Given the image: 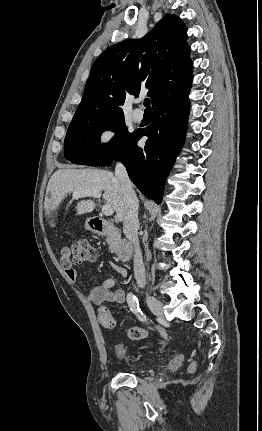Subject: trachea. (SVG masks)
Listing matches in <instances>:
<instances>
[{
	"instance_id": "1",
	"label": "trachea",
	"mask_w": 262,
	"mask_h": 431,
	"mask_svg": "<svg viewBox=\"0 0 262 431\" xmlns=\"http://www.w3.org/2000/svg\"><path fill=\"white\" fill-rule=\"evenodd\" d=\"M144 106L146 107V110H151L149 98L144 99Z\"/></svg>"
}]
</instances>
